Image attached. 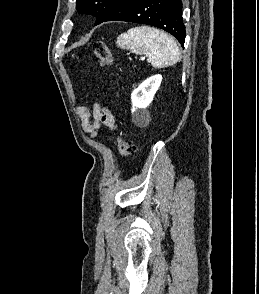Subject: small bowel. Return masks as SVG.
<instances>
[{"label":"small bowel","mask_w":259,"mask_h":294,"mask_svg":"<svg viewBox=\"0 0 259 294\" xmlns=\"http://www.w3.org/2000/svg\"><path fill=\"white\" fill-rule=\"evenodd\" d=\"M76 114L81 122L82 130L90 138H95L101 125H105L111 130L116 128L115 118L112 113L99 103H94L92 109L86 106L78 105Z\"/></svg>","instance_id":"1"}]
</instances>
